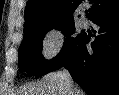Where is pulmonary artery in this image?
I'll return each instance as SVG.
<instances>
[{
    "mask_svg": "<svg viewBox=\"0 0 119 95\" xmlns=\"http://www.w3.org/2000/svg\"><path fill=\"white\" fill-rule=\"evenodd\" d=\"M80 24H81L82 26H86V25H87V20H86L84 17H82V18L80 19Z\"/></svg>",
    "mask_w": 119,
    "mask_h": 95,
    "instance_id": "e3ab8cb5",
    "label": "pulmonary artery"
}]
</instances>
